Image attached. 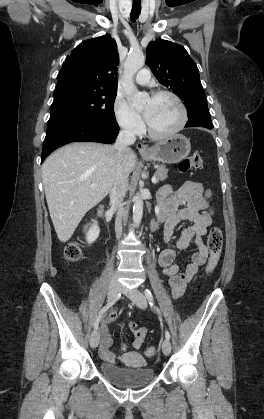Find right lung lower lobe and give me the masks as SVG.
I'll list each match as a JSON object with an SVG mask.
<instances>
[{
	"label": "right lung lower lobe",
	"instance_id": "obj_1",
	"mask_svg": "<svg viewBox=\"0 0 264 419\" xmlns=\"http://www.w3.org/2000/svg\"><path fill=\"white\" fill-rule=\"evenodd\" d=\"M119 132L116 121H76L46 134L41 163L55 149L71 142L112 143Z\"/></svg>",
	"mask_w": 264,
	"mask_h": 419
}]
</instances>
